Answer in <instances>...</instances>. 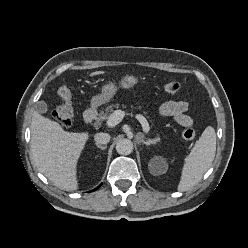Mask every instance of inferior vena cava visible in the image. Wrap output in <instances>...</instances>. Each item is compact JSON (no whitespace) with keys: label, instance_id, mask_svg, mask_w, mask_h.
<instances>
[{"label":"inferior vena cava","instance_id":"602c4592","mask_svg":"<svg viewBox=\"0 0 248 248\" xmlns=\"http://www.w3.org/2000/svg\"><path fill=\"white\" fill-rule=\"evenodd\" d=\"M110 135L108 133H96L94 136V140L98 144H107L110 141Z\"/></svg>","mask_w":248,"mask_h":248}]
</instances>
